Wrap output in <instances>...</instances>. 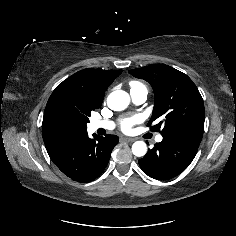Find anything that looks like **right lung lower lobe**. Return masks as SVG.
Returning a JSON list of instances; mask_svg holds the SVG:
<instances>
[{"label": "right lung lower lobe", "mask_w": 236, "mask_h": 236, "mask_svg": "<svg viewBox=\"0 0 236 236\" xmlns=\"http://www.w3.org/2000/svg\"><path fill=\"white\" fill-rule=\"evenodd\" d=\"M88 135L70 143L50 157L53 163L69 178L77 182L87 183L97 178L105 169L113 148L119 137Z\"/></svg>", "instance_id": "98d812e1"}]
</instances>
